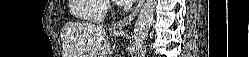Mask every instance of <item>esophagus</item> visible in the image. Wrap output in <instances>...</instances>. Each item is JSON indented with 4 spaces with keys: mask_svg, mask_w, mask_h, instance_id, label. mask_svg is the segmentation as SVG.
<instances>
[{
    "mask_svg": "<svg viewBox=\"0 0 249 57\" xmlns=\"http://www.w3.org/2000/svg\"><path fill=\"white\" fill-rule=\"evenodd\" d=\"M143 3H144V0H140L139 3L137 4V6L133 9V11L129 15L124 17L122 20L112 24V26L110 27V30L114 31V32L123 31L128 26H130L131 23L134 21L135 17L137 16Z\"/></svg>",
    "mask_w": 249,
    "mask_h": 57,
    "instance_id": "esophagus-1",
    "label": "esophagus"
}]
</instances>
